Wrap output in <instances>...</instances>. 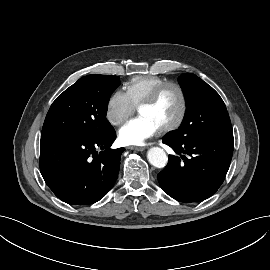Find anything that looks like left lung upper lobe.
Here are the masks:
<instances>
[{
    "instance_id": "1",
    "label": "left lung upper lobe",
    "mask_w": 270,
    "mask_h": 270,
    "mask_svg": "<svg viewBox=\"0 0 270 270\" xmlns=\"http://www.w3.org/2000/svg\"><path fill=\"white\" fill-rule=\"evenodd\" d=\"M178 81L186 97L187 110L181 127L170 137L184 141L193 134L233 136L231 121L219 94L191 73L183 74Z\"/></svg>"
}]
</instances>
